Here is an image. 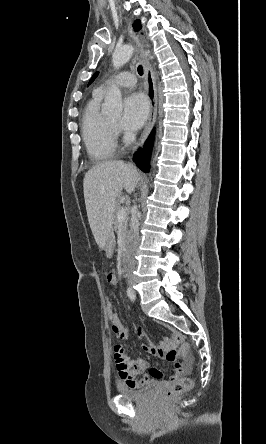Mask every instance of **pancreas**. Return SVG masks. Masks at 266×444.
Here are the masks:
<instances>
[{"mask_svg": "<svg viewBox=\"0 0 266 444\" xmlns=\"http://www.w3.org/2000/svg\"><path fill=\"white\" fill-rule=\"evenodd\" d=\"M123 207L121 205H117L115 207V211H116V215H115V221H114V229L115 231H118L119 229L122 232V236L125 239L126 235L128 233V222H129V218L126 214V216L122 219L119 220L117 217V213L119 212L120 209H122Z\"/></svg>", "mask_w": 266, "mask_h": 444, "instance_id": "cf45deb5", "label": "pancreas"}]
</instances>
